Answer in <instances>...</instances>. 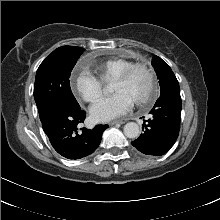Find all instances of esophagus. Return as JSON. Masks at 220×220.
Masks as SVG:
<instances>
[{"mask_svg":"<svg viewBox=\"0 0 220 220\" xmlns=\"http://www.w3.org/2000/svg\"><path fill=\"white\" fill-rule=\"evenodd\" d=\"M123 123H125V120H115V121H112L110 125H117V124H123Z\"/></svg>","mask_w":220,"mask_h":220,"instance_id":"obj_1","label":"esophagus"}]
</instances>
